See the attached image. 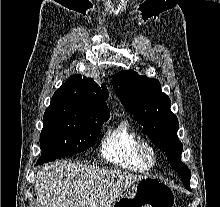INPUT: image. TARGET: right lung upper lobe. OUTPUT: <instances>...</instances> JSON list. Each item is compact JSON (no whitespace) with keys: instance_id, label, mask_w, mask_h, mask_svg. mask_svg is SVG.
<instances>
[{"instance_id":"cb5924a9","label":"right lung upper lobe","mask_w":220,"mask_h":207,"mask_svg":"<svg viewBox=\"0 0 220 207\" xmlns=\"http://www.w3.org/2000/svg\"><path fill=\"white\" fill-rule=\"evenodd\" d=\"M54 98L70 99L108 120L110 112L105 101L108 98L106 85H98L93 79L74 74L54 93Z\"/></svg>"}]
</instances>
